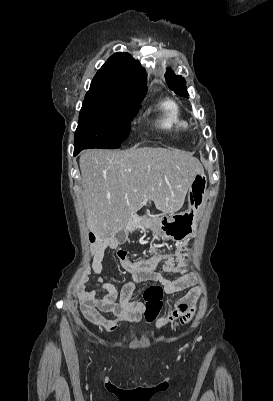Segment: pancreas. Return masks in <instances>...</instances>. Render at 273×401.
Here are the masks:
<instances>
[{"label":"pancreas","instance_id":"obj_1","mask_svg":"<svg viewBox=\"0 0 273 401\" xmlns=\"http://www.w3.org/2000/svg\"><path fill=\"white\" fill-rule=\"evenodd\" d=\"M149 219H146V221H141L139 225H136V229H150V227H153V225H156L158 219L156 215H147Z\"/></svg>","mask_w":273,"mask_h":401}]
</instances>
